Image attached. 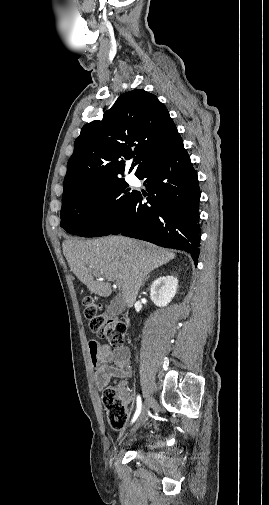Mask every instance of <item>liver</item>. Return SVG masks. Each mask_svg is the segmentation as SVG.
I'll list each match as a JSON object with an SVG mask.
<instances>
[{"instance_id": "1", "label": "liver", "mask_w": 269, "mask_h": 505, "mask_svg": "<svg viewBox=\"0 0 269 505\" xmlns=\"http://www.w3.org/2000/svg\"><path fill=\"white\" fill-rule=\"evenodd\" d=\"M62 247L70 270L92 294L110 296V282L115 281L129 308L136 301L144 277L175 258V253L167 249L123 236L67 239ZM95 274L106 281L95 280Z\"/></svg>"}]
</instances>
